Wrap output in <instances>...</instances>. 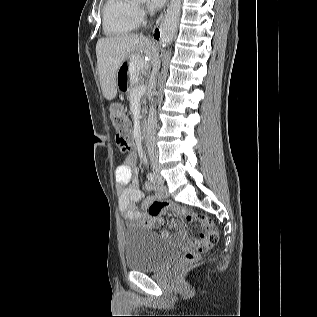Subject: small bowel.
I'll use <instances>...</instances> for the list:
<instances>
[{
  "label": "small bowel",
  "instance_id": "obj_1",
  "mask_svg": "<svg viewBox=\"0 0 317 317\" xmlns=\"http://www.w3.org/2000/svg\"><path fill=\"white\" fill-rule=\"evenodd\" d=\"M134 160L135 157L128 158L117 167L115 173L121 216L127 224H141L148 228H155L162 223V220L158 217H151L147 213V208L154 198L161 199L165 197L166 191L162 188H154L151 183H145L144 187L146 189H155L154 198L145 196L138 188V178L133 169ZM186 218L190 221L198 220L204 228L211 225L207 219L190 212ZM172 226L180 236H185V228L180 222L172 221ZM162 234L163 236L169 235L166 231Z\"/></svg>",
  "mask_w": 317,
  "mask_h": 317
}]
</instances>
